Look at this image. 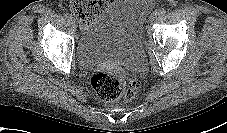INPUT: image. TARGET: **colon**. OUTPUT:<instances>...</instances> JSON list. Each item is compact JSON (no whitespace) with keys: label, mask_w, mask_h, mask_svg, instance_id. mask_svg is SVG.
Listing matches in <instances>:
<instances>
[{"label":"colon","mask_w":227,"mask_h":133,"mask_svg":"<svg viewBox=\"0 0 227 133\" xmlns=\"http://www.w3.org/2000/svg\"><path fill=\"white\" fill-rule=\"evenodd\" d=\"M110 3V0H71L70 8L82 24L94 20ZM91 85L98 96L106 102L130 101L140 87L137 79L126 81L115 72H96L91 77Z\"/></svg>","instance_id":"colon-1"}]
</instances>
